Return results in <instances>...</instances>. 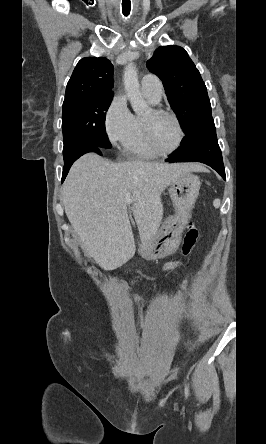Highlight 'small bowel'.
I'll use <instances>...</instances> for the list:
<instances>
[{
	"label": "small bowel",
	"mask_w": 266,
	"mask_h": 444,
	"mask_svg": "<svg viewBox=\"0 0 266 444\" xmlns=\"http://www.w3.org/2000/svg\"><path fill=\"white\" fill-rule=\"evenodd\" d=\"M197 237H198L197 230L194 227L189 226L188 231L183 239L182 246H181V252L184 257L188 256L191 253V251L196 243ZM183 265H184L183 260L179 259V260H174V261H170V262L166 263L164 265L163 269L166 272H171L175 269L181 268ZM139 280H140V277H137L134 280V282L137 283Z\"/></svg>",
	"instance_id": "small-bowel-1"
}]
</instances>
